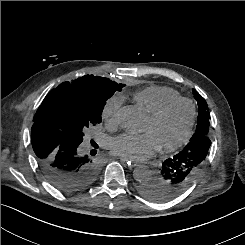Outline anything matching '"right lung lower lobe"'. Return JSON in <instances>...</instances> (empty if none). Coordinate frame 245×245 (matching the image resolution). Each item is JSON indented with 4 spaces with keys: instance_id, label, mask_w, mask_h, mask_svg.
Here are the masks:
<instances>
[{
    "instance_id": "98d812e1",
    "label": "right lung lower lobe",
    "mask_w": 245,
    "mask_h": 245,
    "mask_svg": "<svg viewBox=\"0 0 245 245\" xmlns=\"http://www.w3.org/2000/svg\"><path fill=\"white\" fill-rule=\"evenodd\" d=\"M32 129L31 140L38 165L45 178L63 193H75L90 186L100 166L95 158L80 153L79 145L43 122Z\"/></svg>"
}]
</instances>
